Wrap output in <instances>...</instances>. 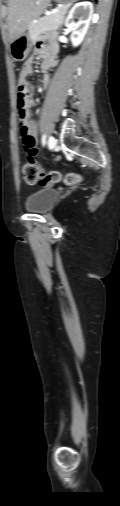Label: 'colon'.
Returning a JSON list of instances; mask_svg holds the SVG:
<instances>
[{"mask_svg":"<svg viewBox=\"0 0 120 506\" xmlns=\"http://www.w3.org/2000/svg\"><path fill=\"white\" fill-rule=\"evenodd\" d=\"M29 97V90L22 85H18V115L23 114L24 108ZM23 146L31 156L37 153L36 141L30 135H22ZM24 180L28 184L41 183L42 185H52L63 181L66 185L74 186L83 182L84 176L80 173H67L64 176L58 171H45L33 159L23 166Z\"/></svg>","mask_w":120,"mask_h":506,"instance_id":"5ec220e1","label":"colon"}]
</instances>
